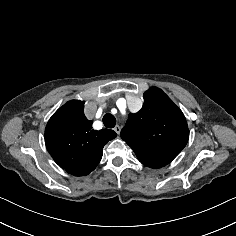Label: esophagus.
<instances>
[{"label":"esophagus","mask_w":236,"mask_h":236,"mask_svg":"<svg viewBox=\"0 0 236 236\" xmlns=\"http://www.w3.org/2000/svg\"><path fill=\"white\" fill-rule=\"evenodd\" d=\"M114 130H115V132H116L117 134H120L121 128H120L119 125H116V126L114 127Z\"/></svg>","instance_id":"obj_1"}]
</instances>
